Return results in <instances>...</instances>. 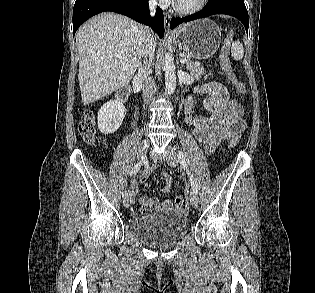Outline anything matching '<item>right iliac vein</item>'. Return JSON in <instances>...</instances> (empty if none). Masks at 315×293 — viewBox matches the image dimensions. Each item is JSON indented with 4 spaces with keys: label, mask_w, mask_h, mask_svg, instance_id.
<instances>
[{
    "label": "right iliac vein",
    "mask_w": 315,
    "mask_h": 293,
    "mask_svg": "<svg viewBox=\"0 0 315 293\" xmlns=\"http://www.w3.org/2000/svg\"><path fill=\"white\" fill-rule=\"evenodd\" d=\"M148 148H149V141L147 139H143L138 149V160H143ZM132 202H133V194H129V196H127L124 199V206L127 208L132 204Z\"/></svg>",
    "instance_id": "obj_1"
}]
</instances>
